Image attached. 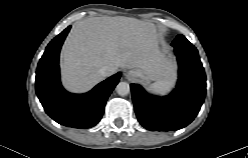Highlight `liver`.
Listing matches in <instances>:
<instances>
[{"label":"liver","mask_w":248,"mask_h":158,"mask_svg":"<svg viewBox=\"0 0 248 158\" xmlns=\"http://www.w3.org/2000/svg\"><path fill=\"white\" fill-rule=\"evenodd\" d=\"M119 68L145 71L151 80L172 74L170 60L159 49L154 24L131 17H92L75 23L61 51L64 85L74 92H85L103 77L99 69Z\"/></svg>","instance_id":"liver-1"}]
</instances>
